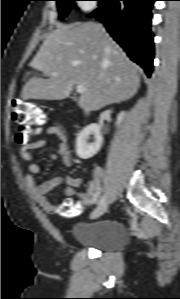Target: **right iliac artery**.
Returning <instances> with one entry per match:
<instances>
[{"label": "right iliac artery", "mask_w": 180, "mask_h": 299, "mask_svg": "<svg viewBox=\"0 0 180 299\" xmlns=\"http://www.w3.org/2000/svg\"><path fill=\"white\" fill-rule=\"evenodd\" d=\"M104 202H105V196L103 195V196L100 198L98 204L100 205V204H102V203H104Z\"/></svg>", "instance_id": "right-iliac-artery-1"}]
</instances>
